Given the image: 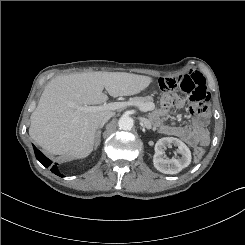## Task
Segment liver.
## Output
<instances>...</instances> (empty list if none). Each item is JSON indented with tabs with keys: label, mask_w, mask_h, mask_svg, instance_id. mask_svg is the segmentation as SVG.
Returning a JSON list of instances; mask_svg holds the SVG:
<instances>
[{
	"label": "liver",
	"mask_w": 245,
	"mask_h": 245,
	"mask_svg": "<svg viewBox=\"0 0 245 245\" xmlns=\"http://www.w3.org/2000/svg\"><path fill=\"white\" fill-rule=\"evenodd\" d=\"M153 78L126 72H88L61 75L44 88L31 114L29 134L44 150L77 158L88 156L97 129L111 110L86 112L78 107L102 104L108 96H131L146 89Z\"/></svg>",
	"instance_id": "obj_1"
}]
</instances>
